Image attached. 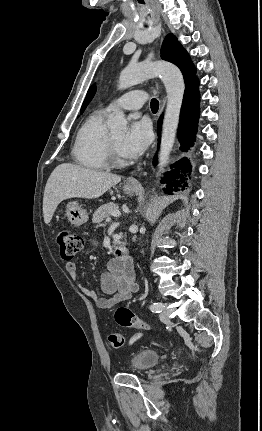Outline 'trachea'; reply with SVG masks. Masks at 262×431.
Returning a JSON list of instances; mask_svg holds the SVG:
<instances>
[{
	"mask_svg": "<svg viewBox=\"0 0 262 431\" xmlns=\"http://www.w3.org/2000/svg\"><path fill=\"white\" fill-rule=\"evenodd\" d=\"M150 105H151V110H152L154 113L158 111V108H159V102H158V100H157V99H154V98H153V99L151 100Z\"/></svg>",
	"mask_w": 262,
	"mask_h": 431,
	"instance_id": "3493384b",
	"label": "trachea"
}]
</instances>
